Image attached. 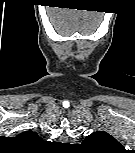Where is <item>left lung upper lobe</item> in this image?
Returning a JSON list of instances; mask_svg holds the SVG:
<instances>
[{
	"label": "left lung upper lobe",
	"mask_w": 135,
	"mask_h": 153,
	"mask_svg": "<svg viewBox=\"0 0 135 153\" xmlns=\"http://www.w3.org/2000/svg\"><path fill=\"white\" fill-rule=\"evenodd\" d=\"M82 145L92 151L110 153L122 150V145L110 134L104 131H96L85 138Z\"/></svg>",
	"instance_id": "left-lung-upper-lobe-1"
}]
</instances>
